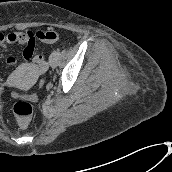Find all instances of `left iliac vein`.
Returning <instances> with one entry per match:
<instances>
[{
  "instance_id": "left-iliac-vein-1",
  "label": "left iliac vein",
  "mask_w": 172,
  "mask_h": 172,
  "mask_svg": "<svg viewBox=\"0 0 172 172\" xmlns=\"http://www.w3.org/2000/svg\"><path fill=\"white\" fill-rule=\"evenodd\" d=\"M57 60H58V55L55 52H53L49 57V65L53 68L56 67Z\"/></svg>"
}]
</instances>
